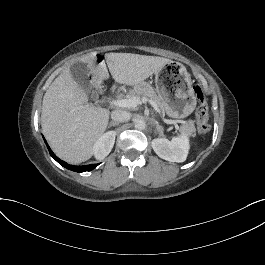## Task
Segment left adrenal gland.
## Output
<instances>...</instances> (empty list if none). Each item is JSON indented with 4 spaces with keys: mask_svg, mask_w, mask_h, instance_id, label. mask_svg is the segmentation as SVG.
Wrapping results in <instances>:
<instances>
[{
    "mask_svg": "<svg viewBox=\"0 0 265 265\" xmlns=\"http://www.w3.org/2000/svg\"><path fill=\"white\" fill-rule=\"evenodd\" d=\"M158 131H159L160 133H162V132H163V129H162L160 126H158Z\"/></svg>",
    "mask_w": 265,
    "mask_h": 265,
    "instance_id": "a2214340",
    "label": "left adrenal gland"
}]
</instances>
